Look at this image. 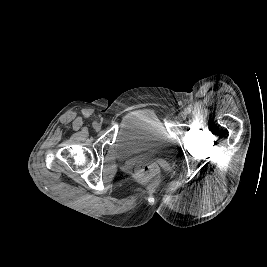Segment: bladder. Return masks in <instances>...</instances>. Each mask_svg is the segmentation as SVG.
I'll return each mask as SVG.
<instances>
[{"instance_id": "bladder-1", "label": "bladder", "mask_w": 267, "mask_h": 267, "mask_svg": "<svg viewBox=\"0 0 267 267\" xmlns=\"http://www.w3.org/2000/svg\"><path fill=\"white\" fill-rule=\"evenodd\" d=\"M168 144V135L156 115L148 109H141L122 121L113 145V155L119 160L155 155L164 152Z\"/></svg>"}]
</instances>
